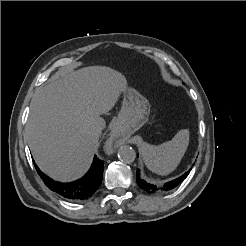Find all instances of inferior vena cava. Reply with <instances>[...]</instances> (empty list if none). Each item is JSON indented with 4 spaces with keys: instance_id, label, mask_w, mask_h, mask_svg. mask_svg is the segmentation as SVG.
Here are the masks:
<instances>
[{
    "instance_id": "1",
    "label": "inferior vena cava",
    "mask_w": 246,
    "mask_h": 246,
    "mask_svg": "<svg viewBox=\"0 0 246 246\" xmlns=\"http://www.w3.org/2000/svg\"><path fill=\"white\" fill-rule=\"evenodd\" d=\"M101 132H102V127L101 125H99L98 123L94 124L93 127H92V133L99 137L101 135Z\"/></svg>"
}]
</instances>
